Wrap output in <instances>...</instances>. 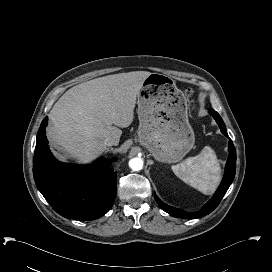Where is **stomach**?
I'll return each mask as SVG.
<instances>
[{
  "label": "stomach",
  "mask_w": 272,
  "mask_h": 272,
  "mask_svg": "<svg viewBox=\"0 0 272 272\" xmlns=\"http://www.w3.org/2000/svg\"><path fill=\"white\" fill-rule=\"evenodd\" d=\"M138 139L151 155L164 163L180 161L194 146L187 103L175 81L151 73L137 95Z\"/></svg>",
  "instance_id": "0dacf381"
}]
</instances>
